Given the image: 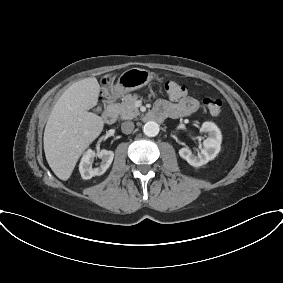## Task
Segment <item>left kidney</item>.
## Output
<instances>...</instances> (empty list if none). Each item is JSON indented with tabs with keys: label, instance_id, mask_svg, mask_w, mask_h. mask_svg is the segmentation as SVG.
<instances>
[{
	"label": "left kidney",
	"instance_id": "obj_1",
	"mask_svg": "<svg viewBox=\"0 0 283 283\" xmlns=\"http://www.w3.org/2000/svg\"><path fill=\"white\" fill-rule=\"evenodd\" d=\"M201 132L207 133L208 137L203 141L204 149L197 156L189 148L183 147L179 150L180 157L193 167L203 166L213 160L221 148V131L214 123L204 122L201 126Z\"/></svg>",
	"mask_w": 283,
	"mask_h": 283
}]
</instances>
